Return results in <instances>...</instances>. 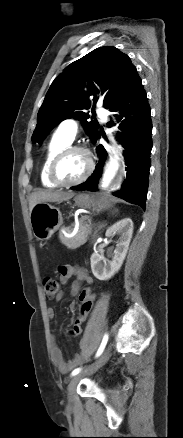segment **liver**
I'll list each match as a JSON object with an SVG mask.
<instances>
[{"instance_id": "liver-1", "label": "liver", "mask_w": 183, "mask_h": 438, "mask_svg": "<svg viewBox=\"0 0 183 438\" xmlns=\"http://www.w3.org/2000/svg\"><path fill=\"white\" fill-rule=\"evenodd\" d=\"M75 195L74 192L68 191H38L31 194L29 198V209L30 212L33 207L41 202H63L71 199Z\"/></svg>"}]
</instances>
